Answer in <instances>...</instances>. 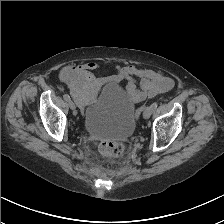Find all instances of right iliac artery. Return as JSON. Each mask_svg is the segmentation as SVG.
<instances>
[{
    "label": "right iliac artery",
    "mask_w": 224,
    "mask_h": 224,
    "mask_svg": "<svg viewBox=\"0 0 224 224\" xmlns=\"http://www.w3.org/2000/svg\"><path fill=\"white\" fill-rule=\"evenodd\" d=\"M63 98L66 100V101H69L70 100V96L68 94H64L63 95Z\"/></svg>",
    "instance_id": "1"
}]
</instances>
